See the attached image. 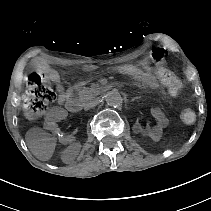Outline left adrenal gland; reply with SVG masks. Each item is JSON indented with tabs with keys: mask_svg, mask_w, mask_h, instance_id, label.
Masks as SVG:
<instances>
[{
	"mask_svg": "<svg viewBox=\"0 0 211 211\" xmlns=\"http://www.w3.org/2000/svg\"><path fill=\"white\" fill-rule=\"evenodd\" d=\"M140 98H141V97H135V98L132 100V102L135 101L136 99H140Z\"/></svg>",
	"mask_w": 211,
	"mask_h": 211,
	"instance_id": "left-adrenal-gland-1",
	"label": "left adrenal gland"
}]
</instances>
